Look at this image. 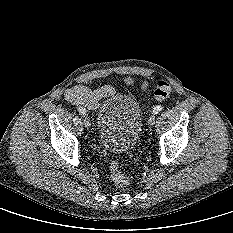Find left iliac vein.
<instances>
[{
  "mask_svg": "<svg viewBox=\"0 0 233 233\" xmlns=\"http://www.w3.org/2000/svg\"><path fill=\"white\" fill-rule=\"evenodd\" d=\"M155 114H152L150 117H149V119H148V121H147V124H148V126H152L154 123H155Z\"/></svg>",
  "mask_w": 233,
  "mask_h": 233,
  "instance_id": "obj_1",
  "label": "left iliac vein"
}]
</instances>
